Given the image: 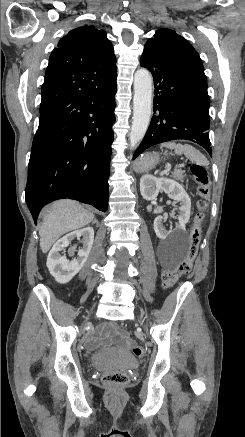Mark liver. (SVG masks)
<instances>
[{
    "label": "liver",
    "instance_id": "liver-1",
    "mask_svg": "<svg viewBox=\"0 0 245 437\" xmlns=\"http://www.w3.org/2000/svg\"><path fill=\"white\" fill-rule=\"evenodd\" d=\"M94 214L78 202L59 200L54 202L43 216L39 230L40 248L43 253L65 233L82 228L92 222Z\"/></svg>",
    "mask_w": 245,
    "mask_h": 437
}]
</instances>
